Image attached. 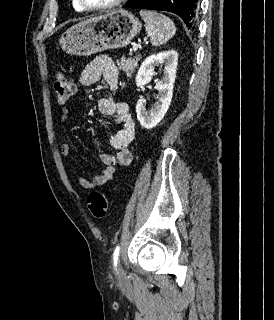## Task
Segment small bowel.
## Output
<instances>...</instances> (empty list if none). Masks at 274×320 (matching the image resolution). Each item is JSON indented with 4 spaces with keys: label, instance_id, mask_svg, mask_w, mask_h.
Masks as SVG:
<instances>
[{
    "label": "small bowel",
    "instance_id": "small-bowel-1",
    "mask_svg": "<svg viewBox=\"0 0 274 320\" xmlns=\"http://www.w3.org/2000/svg\"><path fill=\"white\" fill-rule=\"evenodd\" d=\"M119 79V72L115 64L109 56L104 54L95 57L88 63L79 76V82L82 86H91L100 80H104L112 91L117 89ZM98 106L102 114L112 116L119 126L116 134L109 139L110 145L116 150V153H102L100 155L104 167L94 178L89 180L82 175H78L77 183L82 189H94L103 186L113 178L118 167L129 166L133 160L132 152L128 149V146L135 138V125L128 105L118 101L114 95H108L100 99ZM70 108V105H65L60 109L59 119L61 124H65L67 121ZM60 151L63 156H68L70 145L67 142L62 143Z\"/></svg>",
    "mask_w": 274,
    "mask_h": 320
}]
</instances>
